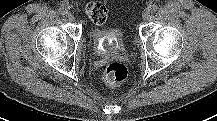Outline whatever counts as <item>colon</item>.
<instances>
[{
    "label": "colon",
    "mask_w": 217,
    "mask_h": 121,
    "mask_svg": "<svg viewBox=\"0 0 217 121\" xmlns=\"http://www.w3.org/2000/svg\"><path fill=\"white\" fill-rule=\"evenodd\" d=\"M85 12L95 25H102L107 19L106 7L98 1L90 2L85 7ZM128 76V70L122 63L110 64L103 73L106 84L115 86L122 83Z\"/></svg>",
    "instance_id": "obj_1"
}]
</instances>
